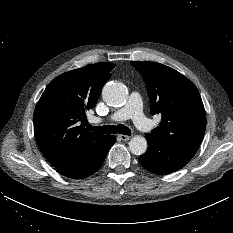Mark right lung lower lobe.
<instances>
[{
	"label": "right lung lower lobe",
	"mask_w": 233,
	"mask_h": 233,
	"mask_svg": "<svg viewBox=\"0 0 233 233\" xmlns=\"http://www.w3.org/2000/svg\"><path fill=\"white\" fill-rule=\"evenodd\" d=\"M115 140V136L107 135L98 145L87 150L75 159L54 167L60 174L69 178H86L95 173L102 166Z\"/></svg>",
	"instance_id": "right-lung-lower-lobe-1"
}]
</instances>
